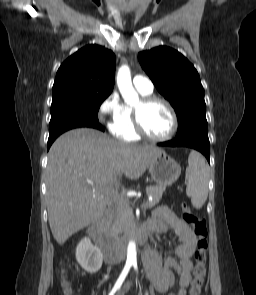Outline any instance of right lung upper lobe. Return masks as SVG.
<instances>
[{
    "label": "right lung upper lobe",
    "instance_id": "obj_1",
    "mask_svg": "<svg viewBox=\"0 0 256 295\" xmlns=\"http://www.w3.org/2000/svg\"><path fill=\"white\" fill-rule=\"evenodd\" d=\"M115 55L99 45H87L66 59L57 71L53 101L108 97L114 87Z\"/></svg>",
    "mask_w": 256,
    "mask_h": 295
}]
</instances>
